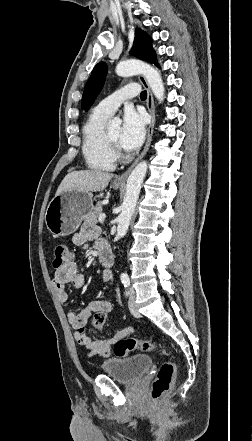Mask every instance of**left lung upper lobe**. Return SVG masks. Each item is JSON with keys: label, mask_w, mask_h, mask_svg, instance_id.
Wrapping results in <instances>:
<instances>
[{"label": "left lung upper lobe", "mask_w": 252, "mask_h": 441, "mask_svg": "<svg viewBox=\"0 0 252 441\" xmlns=\"http://www.w3.org/2000/svg\"><path fill=\"white\" fill-rule=\"evenodd\" d=\"M130 53L139 59L157 64L155 51L152 48V39L145 31L139 28L135 30L134 44ZM106 73L107 65L104 62H100L94 67L85 85L81 102L82 109L87 111L91 107L104 85Z\"/></svg>", "instance_id": "5c2ea615"}]
</instances>
